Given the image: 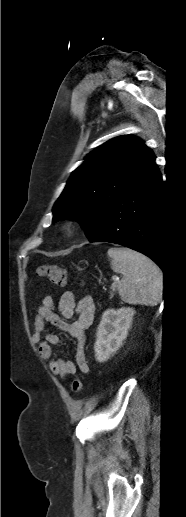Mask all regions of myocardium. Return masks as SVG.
Here are the masks:
<instances>
[{"instance_id": "1", "label": "myocardium", "mask_w": 186, "mask_h": 517, "mask_svg": "<svg viewBox=\"0 0 186 517\" xmlns=\"http://www.w3.org/2000/svg\"><path fill=\"white\" fill-rule=\"evenodd\" d=\"M76 224L74 222L68 221L63 226V232L67 236H73L76 232Z\"/></svg>"}]
</instances>
